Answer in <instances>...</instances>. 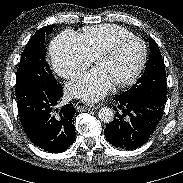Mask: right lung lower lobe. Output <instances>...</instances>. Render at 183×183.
<instances>
[{"label": "right lung lower lobe", "instance_id": "98d812e1", "mask_svg": "<svg viewBox=\"0 0 183 183\" xmlns=\"http://www.w3.org/2000/svg\"><path fill=\"white\" fill-rule=\"evenodd\" d=\"M62 95V86L57 83L50 89H29L17 100L26 135L34 145L51 153L65 151L75 140L76 111L71 104L57 108Z\"/></svg>", "mask_w": 183, "mask_h": 183}]
</instances>
